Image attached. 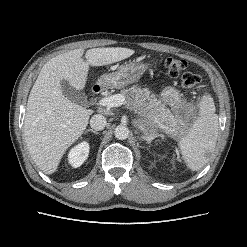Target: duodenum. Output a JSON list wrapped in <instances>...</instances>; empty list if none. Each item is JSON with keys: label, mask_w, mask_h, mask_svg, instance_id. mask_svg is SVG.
Masks as SVG:
<instances>
[{"label": "duodenum", "mask_w": 247, "mask_h": 247, "mask_svg": "<svg viewBox=\"0 0 247 247\" xmlns=\"http://www.w3.org/2000/svg\"><path fill=\"white\" fill-rule=\"evenodd\" d=\"M101 91V88H100V86H98V85H95V86H93V92L94 93H99Z\"/></svg>", "instance_id": "1"}]
</instances>
